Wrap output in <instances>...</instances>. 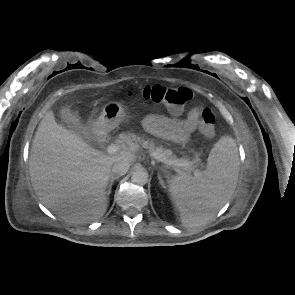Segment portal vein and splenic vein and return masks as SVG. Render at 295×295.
Masks as SVG:
<instances>
[{"label": "portal vein and splenic vein", "mask_w": 295, "mask_h": 295, "mask_svg": "<svg viewBox=\"0 0 295 295\" xmlns=\"http://www.w3.org/2000/svg\"><path fill=\"white\" fill-rule=\"evenodd\" d=\"M119 150L118 145L116 144H111L107 147V152L109 154H115L117 153ZM151 155L157 159L158 161L164 163L166 166L169 167H189L191 164L188 161H183L180 159L177 160H172V159H168L166 157H163L162 155L156 153V152H152ZM198 172H196L197 174Z\"/></svg>", "instance_id": "1"}]
</instances>
